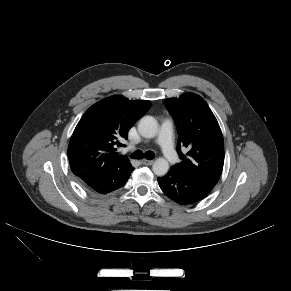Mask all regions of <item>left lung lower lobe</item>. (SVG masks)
<instances>
[{
	"label": "left lung lower lobe",
	"instance_id": "obj_1",
	"mask_svg": "<svg viewBox=\"0 0 291 291\" xmlns=\"http://www.w3.org/2000/svg\"><path fill=\"white\" fill-rule=\"evenodd\" d=\"M158 183L167 197L182 205L202 200L214 187L174 169H170L165 176L158 177Z\"/></svg>",
	"mask_w": 291,
	"mask_h": 291
}]
</instances>
